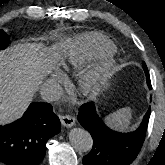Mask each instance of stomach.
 I'll return each mask as SVG.
<instances>
[{
    "label": "stomach",
    "mask_w": 165,
    "mask_h": 165,
    "mask_svg": "<svg viewBox=\"0 0 165 165\" xmlns=\"http://www.w3.org/2000/svg\"><path fill=\"white\" fill-rule=\"evenodd\" d=\"M110 86V81L105 79L100 82L99 88L101 91H106Z\"/></svg>",
    "instance_id": "stomach-1"
}]
</instances>
